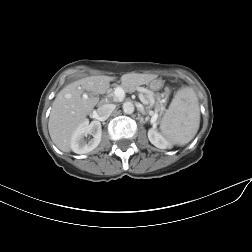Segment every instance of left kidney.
<instances>
[{"label":"left kidney","instance_id":"5707ae66","mask_svg":"<svg viewBox=\"0 0 252 252\" xmlns=\"http://www.w3.org/2000/svg\"><path fill=\"white\" fill-rule=\"evenodd\" d=\"M148 138L157 148L166 149L171 146L170 142L156 130L155 125L149 129Z\"/></svg>","mask_w":252,"mask_h":252}]
</instances>
